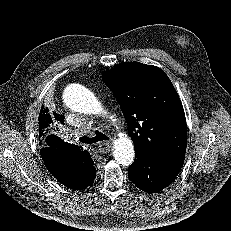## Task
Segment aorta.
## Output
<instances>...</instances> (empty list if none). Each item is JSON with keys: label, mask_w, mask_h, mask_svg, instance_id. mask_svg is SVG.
Masks as SVG:
<instances>
[{"label": "aorta", "mask_w": 231, "mask_h": 231, "mask_svg": "<svg viewBox=\"0 0 231 231\" xmlns=\"http://www.w3.org/2000/svg\"><path fill=\"white\" fill-rule=\"evenodd\" d=\"M65 105L79 113L101 114L104 109L98 98L87 88L80 84H70L63 92ZM113 156L115 160L123 165L129 166L134 161L135 150L131 138L121 134L113 142Z\"/></svg>", "instance_id": "1"}]
</instances>
